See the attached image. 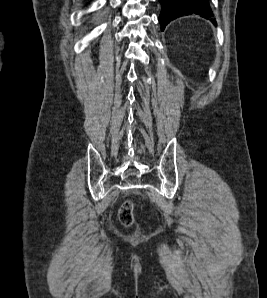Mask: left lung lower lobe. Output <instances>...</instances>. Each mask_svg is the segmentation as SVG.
<instances>
[{
  "mask_svg": "<svg viewBox=\"0 0 267 298\" xmlns=\"http://www.w3.org/2000/svg\"><path fill=\"white\" fill-rule=\"evenodd\" d=\"M159 2L162 7L159 17L162 31L171 20L182 15L197 14L206 19L213 17L208 0H159Z\"/></svg>",
  "mask_w": 267,
  "mask_h": 298,
  "instance_id": "1",
  "label": "left lung lower lobe"
}]
</instances>
